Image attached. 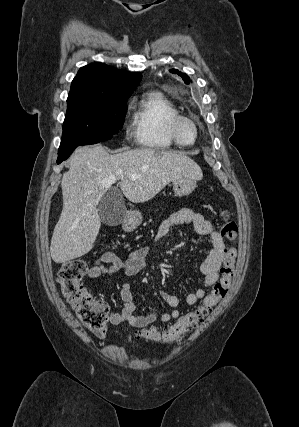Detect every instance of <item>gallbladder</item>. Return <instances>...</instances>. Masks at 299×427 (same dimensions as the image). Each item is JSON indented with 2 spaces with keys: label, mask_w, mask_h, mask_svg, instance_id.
<instances>
[{
  "label": "gallbladder",
  "mask_w": 299,
  "mask_h": 427,
  "mask_svg": "<svg viewBox=\"0 0 299 427\" xmlns=\"http://www.w3.org/2000/svg\"><path fill=\"white\" fill-rule=\"evenodd\" d=\"M101 222L105 225L121 224L126 216V206L121 192L117 189L108 190L97 205Z\"/></svg>",
  "instance_id": "obj_1"
}]
</instances>
